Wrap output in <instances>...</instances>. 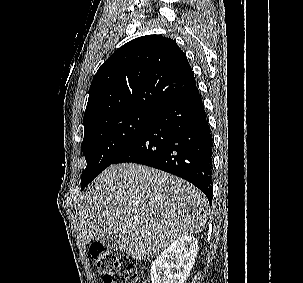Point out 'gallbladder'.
<instances>
[{
    "mask_svg": "<svg viewBox=\"0 0 303 283\" xmlns=\"http://www.w3.org/2000/svg\"><path fill=\"white\" fill-rule=\"evenodd\" d=\"M100 243L109 249H117V241L115 235H106L100 237Z\"/></svg>",
    "mask_w": 303,
    "mask_h": 283,
    "instance_id": "obj_1",
    "label": "gallbladder"
}]
</instances>
